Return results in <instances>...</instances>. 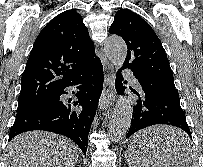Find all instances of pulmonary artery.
<instances>
[{
	"label": "pulmonary artery",
	"mask_w": 203,
	"mask_h": 167,
	"mask_svg": "<svg viewBox=\"0 0 203 167\" xmlns=\"http://www.w3.org/2000/svg\"><path fill=\"white\" fill-rule=\"evenodd\" d=\"M124 75L132 84L138 85L137 79L129 71H125Z\"/></svg>",
	"instance_id": "e3ab8cb5"
}]
</instances>
